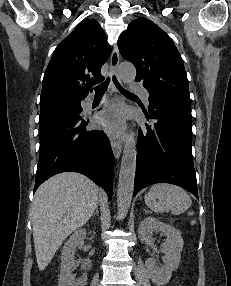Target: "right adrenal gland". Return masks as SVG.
I'll return each instance as SVG.
<instances>
[{
  "label": "right adrenal gland",
  "instance_id": "2a0ac1e0",
  "mask_svg": "<svg viewBox=\"0 0 231 286\" xmlns=\"http://www.w3.org/2000/svg\"><path fill=\"white\" fill-rule=\"evenodd\" d=\"M95 215H99L98 205L96 206V208H95V212L93 213V216H95Z\"/></svg>",
  "mask_w": 231,
  "mask_h": 286
}]
</instances>
